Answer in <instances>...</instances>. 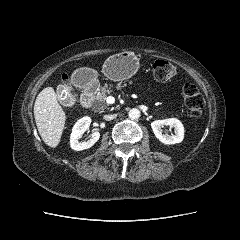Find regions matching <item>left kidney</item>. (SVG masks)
Returning a JSON list of instances; mask_svg holds the SVG:
<instances>
[{"instance_id":"obj_1","label":"left kidney","mask_w":240,"mask_h":240,"mask_svg":"<svg viewBox=\"0 0 240 240\" xmlns=\"http://www.w3.org/2000/svg\"><path fill=\"white\" fill-rule=\"evenodd\" d=\"M169 126L174 128L172 135L163 134L162 128ZM151 128L156 138L164 144H176L182 142L184 138V127L182 123L176 118H169L164 120H155L151 123Z\"/></svg>"}]
</instances>
